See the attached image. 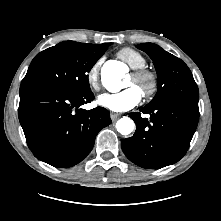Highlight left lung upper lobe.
Instances as JSON below:
<instances>
[{"label":"left lung upper lobe","mask_w":221,"mask_h":221,"mask_svg":"<svg viewBox=\"0 0 221 221\" xmlns=\"http://www.w3.org/2000/svg\"><path fill=\"white\" fill-rule=\"evenodd\" d=\"M137 48L150 56L157 72L158 91L149 106L173 98L199 99L193 75L181 59L153 43H142Z\"/></svg>","instance_id":"left-lung-upper-lobe-1"}]
</instances>
